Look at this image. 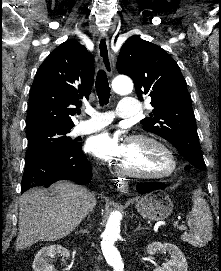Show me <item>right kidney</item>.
<instances>
[{
  "label": "right kidney",
  "instance_id": "ca27d5eb",
  "mask_svg": "<svg viewBox=\"0 0 221 271\" xmlns=\"http://www.w3.org/2000/svg\"><path fill=\"white\" fill-rule=\"evenodd\" d=\"M56 253L62 255V261L65 265L66 259H69L70 257L69 249H66L63 245H58V243H53V245L41 247L38 253H36L32 263L34 271H57L54 265L50 263L51 257H55Z\"/></svg>",
  "mask_w": 221,
  "mask_h": 271
}]
</instances>
